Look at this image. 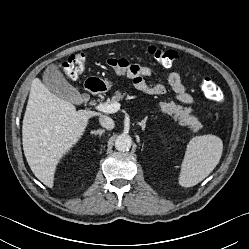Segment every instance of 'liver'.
Wrapping results in <instances>:
<instances>
[{
	"mask_svg": "<svg viewBox=\"0 0 249 249\" xmlns=\"http://www.w3.org/2000/svg\"><path fill=\"white\" fill-rule=\"evenodd\" d=\"M90 110H76L69 101L53 94L39 79L30 90L23 126V150L34 175L52 188L60 160L79 141L91 117Z\"/></svg>",
	"mask_w": 249,
	"mask_h": 249,
	"instance_id": "6515ba94",
	"label": "liver"
}]
</instances>
